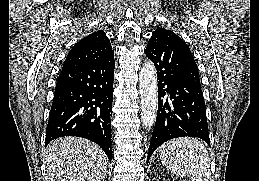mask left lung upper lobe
Segmentation results:
<instances>
[{
  "instance_id": "obj_1",
  "label": "left lung upper lobe",
  "mask_w": 259,
  "mask_h": 181,
  "mask_svg": "<svg viewBox=\"0 0 259 181\" xmlns=\"http://www.w3.org/2000/svg\"><path fill=\"white\" fill-rule=\"evenodd\" d=\"M167 37L171 39H177L179 41V44L183 51V56H182L183 71L192 81H194L196 84L200 86L198 67L193 58V55L189 47L187 46V44L178 35H176L174 32L168 29L160 27L156 29V31L152 34L149 42L156 43Z\"/></svg>"
}]
</instances>
